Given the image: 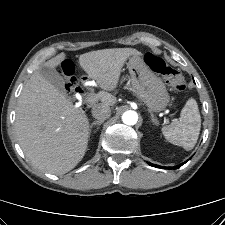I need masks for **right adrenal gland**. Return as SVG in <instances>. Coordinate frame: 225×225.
<instances>
[{"label":"right adrenal gland","mask_w":225,"mask_h":225,"mask_svg":"<svg viewBox=\"0 0 225 225\" xmlns=\"http://www.w3.org/2000/svg\"><path fill=\"white\" fill-rule=\"evenodd\" d=\"M103 123V120H97V121H94L93 123H91V125L89 126V134L91 133V129L93 126H98V125H101Z\"/></svg>","instance_id":"2a0ac1e0"}]
</instances>
